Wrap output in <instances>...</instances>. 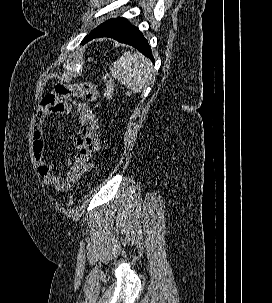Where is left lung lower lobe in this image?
I'll return each mask as SVG.
<instances>
[{"label":"left lung lower lobe","mask_w":272,"mask_h":303,"mask_svg":"<svg viewBox=\"0 0 272 303\" xmlns=\"http://www.w3.org/2000/svg\"><path fill=\"white\" fill-rule=\"evenodd\" d=\"M99 37H110L131 45L155 62L147 40L139 32V29L132 26L125 18H113L99 25L83 39L82 44Z\"/></svg>","instance_id":"0a47b994"}]
</instances>
